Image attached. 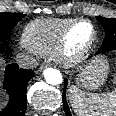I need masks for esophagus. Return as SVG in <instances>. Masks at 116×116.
<instances>
[{
    "instance_id": "obj_1",
    "label": "esophagus",
    "mask_w": 116,
    "mask_h": 116,
    "mask_svg": "<svg viewBox=\"0 0 116 116\" xmlns=\"http://www.w3.org/2000/svg\"><path fill=\"white\" fill-rule=\"evenodd\" d=\"M46 67H48V64H42V65L39 67V71L44 70Z\"/></svg>"
}]
</instances>
